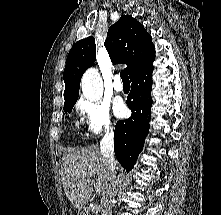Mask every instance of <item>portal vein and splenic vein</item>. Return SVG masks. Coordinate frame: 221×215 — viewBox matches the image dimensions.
Listing matches in <instances>:
<instances>
[{"label":"portal vein and splenic vein","instance_id":"obj_1","mask_svg":"<svg viewBox=\"0 0 221 215\" xmlns=\"http://www.w3.org/2000/svg\"><path fill=\"white\" fill-rule=\"evenodd\" d=\"M99 205H97V204H95V205H92V207H91V210L92 211H95V210H98L99 209Z\"/></svg>","mask_w":221,"mask_h":215}]
</instances>
